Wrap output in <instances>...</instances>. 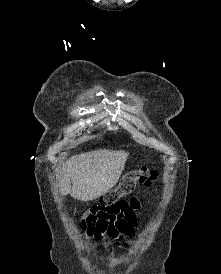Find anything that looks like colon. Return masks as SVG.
Wrapping results in <instances>:
<instances>
[{"label":"colon","mask_w":221,"mask_h":274,"mask_svg":"<svg viewBox=\"0 0 221 274\" xmlns=\"http://www.w3.org/2000/svg\"><path fill=\"white\" fill-rule=\"evenodd\" d=\"M156 179L154 170L142 167L122 176L118 186L109 190L101 199L102 205H113L130 194L137 185L150 186Z\"/></svg>","instance_id":"1"}]
</instances>
